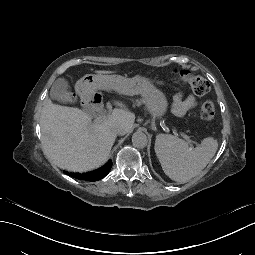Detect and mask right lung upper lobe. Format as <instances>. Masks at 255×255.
<instances>
[{"instance_id": "obj_1", "label": "right lung upper lobe", "mask_w": 255, "mask_h": 255, "mask_svg": "<svg viewBox=\"0 0 255 255\" xmlns=\"http://www.w3.org/2000/svg\"><path fill=\"white\" fill-rule=\"evenodd\" d=\"M112 167V161L110 160L109 162H107L104 166H102L101 168L91 171V172H86V173H68L65 172L67 175H70L76 179H80V180H85V181H98L100 180L102 177L106 176L110 169Z\"/></svg>"}]
</instances>
